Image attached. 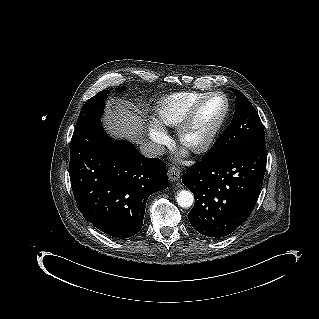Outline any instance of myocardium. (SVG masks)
<instances>
[{
	"instance_id": "f54148a6",
	"label": "myocardium",
	"mask_w": 319,
	"mask_h": 319,
	"mask_svg": "<svg viewBox=\"0 0 319 319\" xmlns=\"http://www.w3.org/2000/svg\"><path fill=\"white\" fill-rule=\"evenodd\" d=\"M215 97L222 98L224 102L223 111L220 117L218 118L214 126L211 128V130L204 137L203 140H201L200 142L194 145L186 143L185 134L187 130L190 128V126L192 125V123L194 122L198 112L209 100ZM228 111H229V103L226 96L223 93L216 91V92H210L206 94L189 110L186 117L176 127L175 140L177 145L180 147V149H182L183 151L187 153L200 154L205 152L213 144L216 136L218 135L220 129L222 128L224 121L227 117Z\"/></svg>"
}]
</instances>
